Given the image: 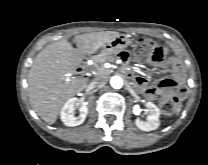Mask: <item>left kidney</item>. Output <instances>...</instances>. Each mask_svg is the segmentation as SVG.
<instances>
[{"instance_id": "5707ae66", "label": "left kidney", "mask_w": 208, "mask_h": 165, "mask_svg": "<svg viewBox=\"0 0 208 165\" xmlns=\"http://www.w3.org/2000/svg\"><path fill=\"white\" fill-rule=\"evenodd\" d=\"M145 106L147 108L146 112L148 120L145 122L140 119H136L135 124L142 131L156 130L160 126V111L152 102H147Z\"/></svg>"}]
</instances>
